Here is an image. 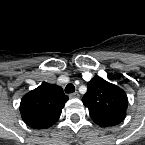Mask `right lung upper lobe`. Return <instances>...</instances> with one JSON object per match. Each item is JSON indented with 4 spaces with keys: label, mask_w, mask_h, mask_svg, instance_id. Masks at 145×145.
<instances>
[{
    "label": "right lung upper lobe",
    "mask_w": 145,
    "mask_h": 145,
    "mask_svg": "<svg viewBox=\"0 0 145 145\" xmlns=\"http://www.w3.org/2000/svg\"><path fill=\"white\" fill-rule=\"evenodd\" d=\"M68 96L60 86L42 83L23 96L20 112L23 121L31 128L45 129L56 123Z\"/></svg>",
    "instance_id": "1"
}]
</instances>
